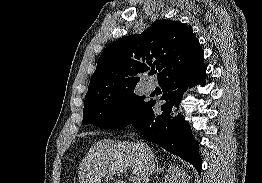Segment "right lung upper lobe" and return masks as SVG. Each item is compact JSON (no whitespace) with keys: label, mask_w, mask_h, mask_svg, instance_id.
<instances>
[{"label":"right lung upper lobe","mask_w":262,"mask_h":183,"mask_svg":"<svg viewBox=\"0 0 262 183\" xmlns=\"http://www.w3.org/2000/svg\"><path fill=\"white\" fill-rule=\"evenodd\" d=\"M204 52L192 28L180 21L159 20L143 33L110 43L98 59L85 104L135 89L138 74L158 70L159 83L203 63Z\"/></svg>","instance_id":"obj_1"}]
</instances>
